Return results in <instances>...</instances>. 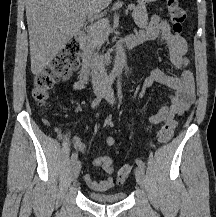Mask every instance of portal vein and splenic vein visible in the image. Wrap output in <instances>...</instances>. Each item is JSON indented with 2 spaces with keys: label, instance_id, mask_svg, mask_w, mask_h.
Segmentation results:
<instances>
[{
  "label": "portal vein and splenic vein",
  "instance_id": "1",
  "mask_svg": "<svg viewBox=\"0 0 216 217\" xmlns=\"http://www.w3.org/2000/svg\"><path fill=\"white\" fill-rule=\"evenodd\" d=\"M128 9L129 10H133L134 9V6L133 5H128ZM91 15V14H90Z\"/></svg>",
  "mask_w": 216,
  "mask_h": 217
}]
</instances>
